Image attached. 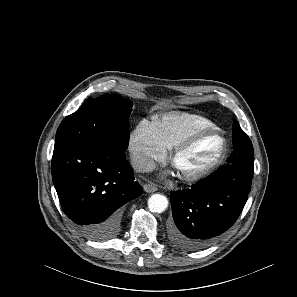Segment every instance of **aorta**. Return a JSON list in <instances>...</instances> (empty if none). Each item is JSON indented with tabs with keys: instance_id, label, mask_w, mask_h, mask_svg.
Here are the masks:
<instances>
[{
	"instance_id": "1",
	"label": "aorta",
	"mask_w": 297,
	"mask_h": 297,
	"mask_svg": "<svg viewBox=\"0 0 297 297\" xmlns=\"http://www.w3.org/2000/svg\"><path fill=\"white\" fill-rule=\"evenodd\" d=\"M148 207L151 212L162 213L168 207V200L164 195L153 194L148 199Z\"/></svg>"
}]
</instances>
